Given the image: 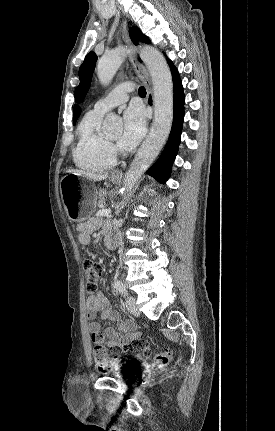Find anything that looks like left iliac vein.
Listing matches in <instances>:
<instances>
[{"mask_svg": "<svg viewBox=\"0 0 275 431\" xmlns=\"http://www.w3.org/2000/svg\"><path fill=\"white\" fill-rule=\"evenodd\" d=\"M126 308L134 316H139V311L136 306V299L132 296L126 298Z\"/></svg>", "mask_w": 275, "mask_h": 431, "instance_id": "obj_1", "label": "left iliac vein"}]
</instances>
